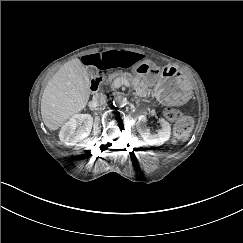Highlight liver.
I'll use <instances>...</instances> for the list:
<instances>
[{
	"mask_svg": "<svg viewBox=\"0 0 243 243\" xmlns=\"http://www.w3.org/2000/svg\"><path fill=\"white\" fill-rule=\"evenodd\" d=\"M90 81L78 58L65 63L48 81L41 115L50 130L58 129L70 116L83 109L89 99Z\"/></svg>",
	"mask_w": 243,
	"mask_h": 243,
	"instance_id": "liver-1",
	"label": "liver"
}]
</instances>
